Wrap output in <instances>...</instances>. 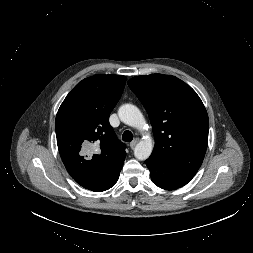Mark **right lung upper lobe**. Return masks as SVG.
I'll return each mask as SVG.
<instances>
[{
  "instance_id": "right-lung-upper-lobe-1",
  "label": "right lung upper lobe",
  "mask_w": 253,
  "mask_h": 253,
  "mask_svg": "<svg viewBox=\"0 0 253 253\" xmlns=\"http://www.w3.org/2000/svg\"><path fill=\"white\" fill-rule=\"evenodd\" d=\"M126 77L94 75L79 82L61 104L55 129L62 161L82 187L103 191L120 173L126 152L116 137L109 116L119 101ZM95 150L84 156L83 149Z\"/></svg>"
}]
</instances>
